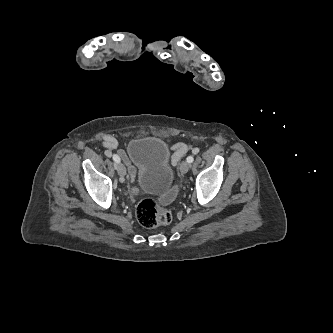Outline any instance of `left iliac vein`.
I'll return each mask as SVG.
<instances>
[{
    "label": "left iliac vein",
    "mask_w": 333,
    "mask_h": 333,
    "mask_svg": "<svg viewBox=\"0 0 333 333\" xmlns=\"http://www.w3.org/2000/svg\"><path fill=\"white\" fill-rule=\"evenodd\" d=\"M191 165L189 162L184 161L182 162L181 166H180V170L183 174L187 173L188 170L190 169Z\"/></svg>",
    "instance_id": "4c4485c4"
}]
</instances>
